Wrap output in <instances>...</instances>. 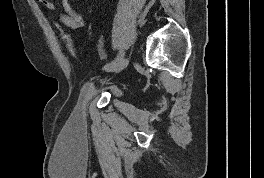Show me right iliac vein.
<instances>
[{
	"label": "right iliac vein",
	"instance_id": "63e3f726",
	"mask_svg": "<svg viewBox=\"0 0 264 178\" xmlns=\"http://www.w3.org/2000/svg\"><path fill=\"white\" fill-rule=\"evenodd\" d=\"M127 65V60L122 58L120 61L115 63L112 67L107 69L108 72H119Z\"/></svg>",
	"mask_w": 264,
	"mask_h": 178
}]
</instances>
